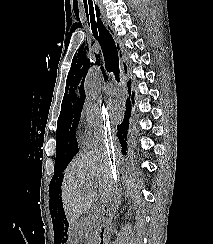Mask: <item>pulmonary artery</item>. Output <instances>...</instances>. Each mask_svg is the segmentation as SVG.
<instances>
[{
  "instance_id": "pulmonary-artery-1",
  "label": "pulmonary artery",
  "mask_w": 213,
  "mask_h": 244,
  "mask_svg": "<svg viewBox=\"0 0 213 244\" xmlns=\"http://www.w3.org/2000/svg\"><path fill=\"white\" fill-rule=\"evenodd\" d=\"M104 92L108 96H113L116 93L114 85L112 83H106L104 85Z\"/></svg>"
}]
</instances>
